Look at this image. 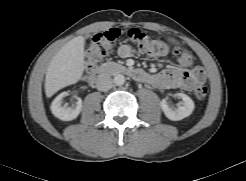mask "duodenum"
<instances>
[{
  "mask_svg": "<svg viewBox=\"0 0 246 181\" xmlns=\"http://www.w3.org/2000/svg\"><path fill=\"white\" fill-rule=\"evenodd\" d=\"M109 73L124 74L139 81H143L146 78V73L141 70L124 65L106 64L90 74L89 83L91 85H100L105 81L106 75Z\"/></svg>",
  "mask_w": 246,
  "mask_h": 181,
  "instance_id": "1",
  "label": "duodenum"
}]
</instances>
